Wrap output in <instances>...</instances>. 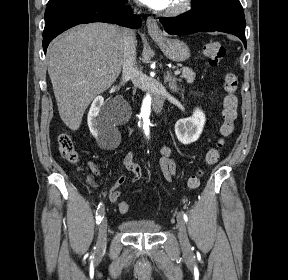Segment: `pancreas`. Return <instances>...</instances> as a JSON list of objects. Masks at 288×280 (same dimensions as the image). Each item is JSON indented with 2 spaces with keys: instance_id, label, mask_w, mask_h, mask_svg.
I'll list each match as a JSON object with an SVG mask.
<instances>
[{
  "instance_id": "obj_1",
  "label": "pancreas",
  "mask_w": 288,
  "mask_h": 280,
  "mask_svg": "<svg viewBox=\"0 0 288 280\" xmlns=\"http://www.w3.org/2000/svg\"><path fill=\"white\" fill-rule=\"evenodd\" d=\"M179 66L182 67V65H179ZM181 69H182L181 77L185 78L188 83H193L195 80V76H196L194 71L190 69L189 67H182Z\"/></svg>"
}]
</instances>
